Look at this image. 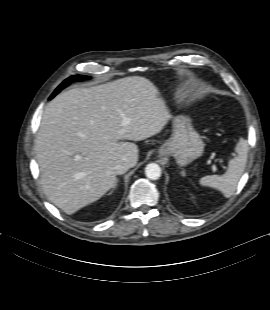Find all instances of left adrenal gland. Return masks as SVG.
<instances>
[{"mask_svg":"<svg viewBox=\"0 0 270 310\" xmlns=\"http://www.w3.org/2000/svg\"><path fill=\"white\" fill-rule=\"evenodd\" d=\"M181 174H182V176H185V175H186V173H185V170H184V169H182Z\"/></svg>","mask_w":270,"mask_h":310,"instance_id":"obj_1","label":"left adrenal gland"}]
</instances>
